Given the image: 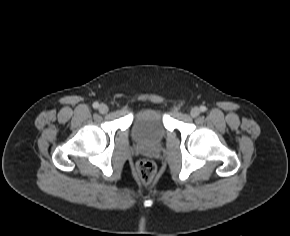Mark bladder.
<instances>
[{"instance_id": "obj_1", "label": "bladder", "mask_w": 290, "mask_h": 236, "mask_svg": "<svg viewBox=\"0 0 290 236\" xmlns=\"http://www.w3.org/2000/svg\"><path fill=\"white\" fill-rule=\"evenodd\" d=\"M133 136L142 143H157L166 134L164 112L158 108L139 111L133 122Z\"/></svg>"}]
</instances>
